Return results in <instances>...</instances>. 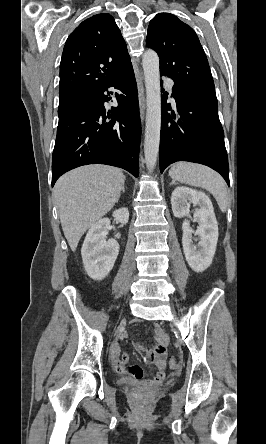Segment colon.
Listing matches in <instances>:
<instances>
[{
    "mask_svg": "<svg viewBox=\"0 0 266 444\" xmlns=\"http://www.w3.org/2000/svg\"><path fill=\"white\" fill-rule=\"evenodd\" d=\"M169 365H170V367L172 368V369H176L177 367H178V361H177V359L176 358H174V357H172V358H170V360H169Z\"/></svg>",
    "mask_w": 266,
    "mask_h": 444,
    "instance_id": "5ec220e1",
    "label": "colon"
}]
</instances>
